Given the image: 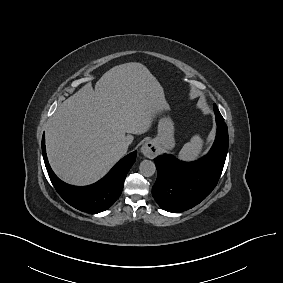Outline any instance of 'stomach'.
Returning a JSON list of instances; mask_svg holds the SVG:
<instances>
[{
  "label": "stomach",
  "mask_w": 283,
  "mask_h": 283,
  "mask_svg": "<svg viewBox=\"0 0 283 283\" xmlns=\"http://www.w3.org/2000/svg\"><path fill=\"white\" fill-rule=\"evenodd\" d=\"M174 123L170 117L161 118L158 124V135L152 143L162 150H172L175 147Z\"/></svg>",
  "instance_id": "0dacf381"
}]
</instances>
